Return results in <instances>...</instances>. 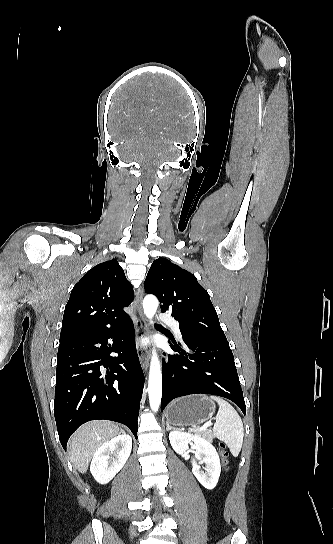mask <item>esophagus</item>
Masks as SVG:
<instances>
[{"label": "esophagus", "mask_w": 333, "mask_h": 544, "mask_svg": "<svg viewBox=\"0 0 333 544\" xmlns=\"http://www.w3.org/2000/svg\"><path fill=\"white\" fill-rule=\"evenodd\" d=\"M142 298H143V289L141 288L138 291L135 298V302H134V311L136 314L134 319V326H135L137 341L147 333V325L144 319L142 306H141ZM138 357L143 369H147L149 365V356L147 351L142 349L141 346H139V344H138Z\"/></svg>", "instance_id": "34e87169"}]
</instances>
